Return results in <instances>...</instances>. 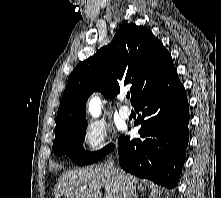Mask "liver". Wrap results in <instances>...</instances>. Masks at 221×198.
I'll use <instances>...</instances> for the list:
<instances>
[{
	"instance_id": "6515ba94",
	"label": "liver",
	"mask_w": 221,
	"mask_h": 198,
	"mask_svg": "<svg viewBox=\"0 0 221 198\" xmlns=\"http://www.w3.org/2000/svg\"><path fill=\"white\" fill-rule=\"evenodd\" d=\"M119 171L129 179L135 189L139 179L122 170ZM101 188L105 190L104 198H124L115 172L105 165H93L62 173L55 185L54 196L55 198L61 196L65 198H102ZM140 189L143 190L141 184Z\"/></svg>"
}]
</instances>
